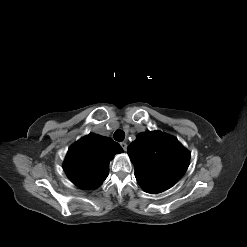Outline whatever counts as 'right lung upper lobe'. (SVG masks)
I'll return each instance as SVG.
<instances>
[{"label": "right lung upper lobe", "instance_id": "right-lung-upper-lobe-1", "mask_svg": "<svg viewBox=\"0 0 247 247\" xmlns=\"http://www.w3.org/2000/svg\"><path fill=\"white\" fill-rule=\"evenodd\" d=\"M121 152V146L112 139L89 134L69 148L63 169L79 188L94 189L107 178L111 158Z\"/></svg>", "mask_w": 247, "mask_h": 247}]
</instances>
